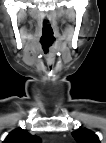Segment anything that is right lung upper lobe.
<instances>
[{
	"label": "right lung upper lobe",
	"mask_w": 106,
	"mask_h": 143,
	"mask_svg": "<svg viewBox=\"0 0 106 143\" xmlns=\"http://www.w3.org/2000/svg\"><path fill=\"white\" fill-rule=\"evenodd\" d=\"M40 138L29 134L24 129H15L5 138L3 143H39Z\"/></svg>",
	"instance_id": "obj_1"
}]
</instances>
